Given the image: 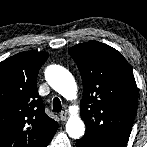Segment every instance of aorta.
<instances>
[{
	"mask_svg": "<svg viewBox=\"0 0 147 147\" xmlns=\"http://www.w3.org/2000/svg\"><path fill=\"white\" fill-rule=\"evenodd\" d=\"M48 84L66 99H73L77 93L76 82L72 74L59 65H51L45 71ZM66 132L69 137L79 139L84 135L85 125L77 111L71 112L66 123Z\"/></svg>",
	"mask_w": 147,
	"mask_h": 147,
	"instance_id": "1",
	"label": "aorta"
}]
</instances>
